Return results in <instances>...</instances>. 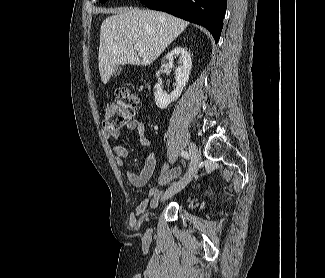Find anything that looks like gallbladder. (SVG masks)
<instances>
[{
    "instance_id": "1",
    "label": "gallbladder",
    "mask_w": 325,
    "mask_h": 278,
    "mask_svg": "<svg viewBox=\"0 0 325 278\" xmlns=\"http://www.w3.org/2000/svg\"><path fill=\"white\" fill-rule=\"evenodd\" d=\"M120 72H121V68L117 66V67L115 68V70H114V72H113L112 75H113V76H117V75L120 74Z\"/></svg>"
}]
</instances>
